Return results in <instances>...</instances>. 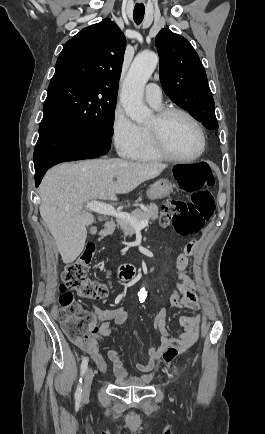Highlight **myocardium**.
I'll use <instances>...</instances> for the list:
<instances>
[{
    "label": "myocardium",
    "instance_id": "myocardium-1",
    "mask_svg": "<svg viewBox=\"0 0 265 434\" xmlns=\"http://www.w3.org/2000/svg\"><path fill=\"white\" fill-rule=\"evenodd\" d=\"M174 114H180L189 119L193 125L196 127L200 140H201V147L197 154L191 157H181L178 156L168 145L166 140L167 135V124L169 121V118ZM153 137L155 146L160 154H162L166 159L174 162L179 163H193L197 160H199L207 149V139L206 134L204 132V129L199 122V120L194 117L190 112L187 110L177 107V106H167L163 107L159 110L157 115L155 116L154 122L149 125Z\"/></svg>",
    "mask_w": 265,
    "mask_h": 434
}]
</instances>
